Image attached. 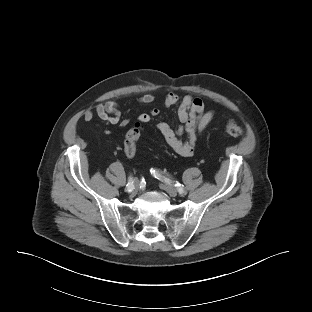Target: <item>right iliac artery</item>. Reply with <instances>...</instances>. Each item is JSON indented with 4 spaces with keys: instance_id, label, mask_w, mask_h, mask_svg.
Listing matches in <instances>:
<instances>
[{
    "instance_id": "right-iliac-artery-1",
    "label": "right iliac artery",
    "mask_w": 312,
    "mask_h": 312,
    "mask_svg": "<svg viewBox=\"0 0 312 312\" xmlns=\"http://www.w3.org/2000/svg\"><path fill=\"white\" fill-rule=\"evenodd\" d=\"M134 181H133V178L132 177H130L129 178V182H128V184L126 185V191L127 192H132L133 191V189H134Z\"/></svg>"
}]
</instances>
